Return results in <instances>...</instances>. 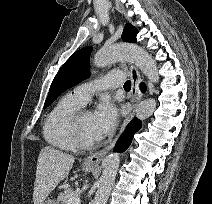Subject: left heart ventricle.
Returning a JSON list of instances; mask_svg holds the SVG:
<instances>
[{
    "mask_svg": "<svg viewBox=\"0 0 212 204\" xmlns=\"http://www.w3.org/2000/svg\"><path fill=\"white\" fill-rule=\"evenodd\" d=\"M81 132L83 137L88 141L98 140L95 133L94 127V115L92 112L83 115L80 123Z\"/></svg>",
    "mask_w": 212,
    "mask_h": 204,
    "instance_id": "left-heart-ventricle-1",
    "label": "left heart ventricle"
}]
</instances>
